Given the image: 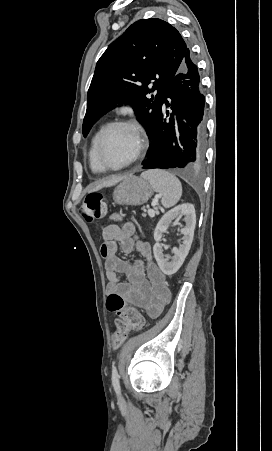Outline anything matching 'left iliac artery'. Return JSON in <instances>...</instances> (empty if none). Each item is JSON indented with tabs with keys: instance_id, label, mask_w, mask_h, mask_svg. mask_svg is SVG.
I'll return each mask as SVG.
<instances>
[{
	"instance_id": "44dca946",
	"label": "left iliac artery",
	"mask_w": 272,
	"mask_h": 451,
	"mask_svg": "<svg viewBox=\"0 0 272 451\" xmlns=\"http://www.w3.org/2000/svg\"><path fill=\"white\" fill-rule=\"evenodd\" d=\"M112 384L117 394L120 393L119 375L115 366L112 368Z\"/></svg>"
}]
</instances>
